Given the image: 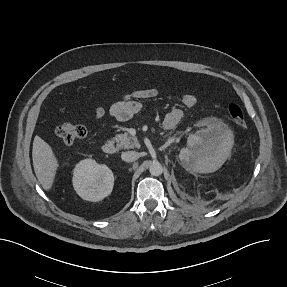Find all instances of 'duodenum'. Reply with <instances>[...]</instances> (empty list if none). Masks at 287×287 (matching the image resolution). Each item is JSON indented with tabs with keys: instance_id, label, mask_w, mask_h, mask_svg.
I'll use <instances>...</instances> for the list:
<instances>
[{
	"instance_id": "duodenum-1",
	"label": "duodenum",
	"mask_w": 287,
	"mask_h": 287,
	"mask_svg": "<svg viewBox=\"0 0 287 287\" xmlns=\"http://www.w3.org/2000/svg\"><path fill=\"white\" fill-rule=\"evenodd\" d=\"M103 151L106 154H114L116 152V146L113 141L108 140L103 145Z\"/></svg>"
}]
</instances>
